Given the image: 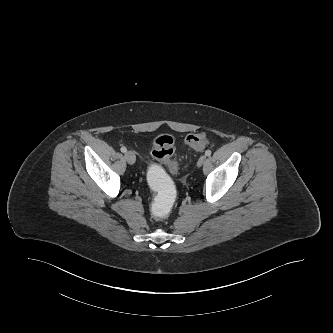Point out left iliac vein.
Returning a JSON list of instances; mask_svg holds the SVG:
<instances>
[{
    "instance_id": "1",
    "label": "left iliac vein",
    "mask_w": 333,
    "mask_h": 333,
    "mask_svg": "<svg viewBox=\"0 0 333 333\" xmlns=\"http://www.w3.org/2000/svg\"><path fill=\"white\" fill-rule=\"evenodd\" d=\"M206 161V156H201L197 162V165L200 167L202 166Z\"/></svg>"
}]
</instances>
